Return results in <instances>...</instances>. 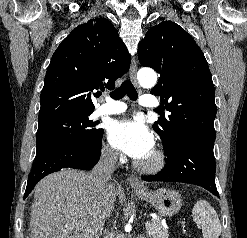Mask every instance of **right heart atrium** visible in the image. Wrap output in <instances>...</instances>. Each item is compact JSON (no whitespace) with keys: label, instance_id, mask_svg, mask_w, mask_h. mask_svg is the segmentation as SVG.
Wrapping results in <instances>:
<instances>
[{"label":"right heart atrium","instance_id":"1","mask_svg":"<svg viewBox=\"0 0 247 238\" xmlns=\"http://www.w3.org/2000/svg\"><path fill=\"white\" fill-rule=\"evenodd\" d=\"M102 158L109 162H114L118 159V153L110 145L105 144L102 148Z\"/></svg>","mask_w":247,"mask_h":238}]
</instances>
